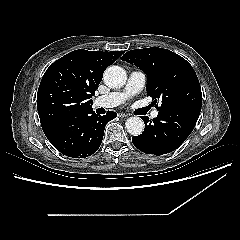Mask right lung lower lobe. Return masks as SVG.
Wrapping results in <instances>:
<instances>
[{
	"instance_id": "right-lung-lower-lobe-1",
	"label": "right lung lower lobe",
	"mask_w": 240,
	"mask_h": 240,
	"mask_svg": "<svg viewBox=\"0 0 240 240\" xmlns=\"http://www.w3.org/2000/svg\"><path fill=\"white\" fill-rule=\"evenodd\" d=\"M116 116L113 111H108L103 116L91 111L68 119L44 133L62 154L73 158H85L98 150L106 124Z\"/></svg>"
}]
</instances>
